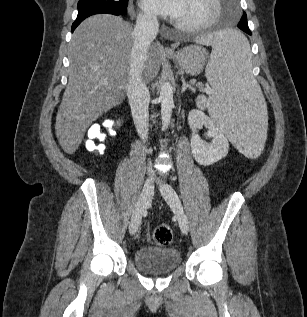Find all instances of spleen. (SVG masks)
Instances as JSON below:
<instances>
[{
	"label": "spleen",
	"mask_w": 307,
	"mask_h": 317,
	"mask_svg": "<svg viewBox=\"0 0 307 317\" xmlns=\"http://www.w3.org/2000/svg\"><path fill=\"white\" fill-rule=\"evenodd\" d=\"M199 44L211 45L205 73L212 87L208 111L212 121L230 138L238 155H263L270 129L259 84L250 72V46L242 29H214L202 33Z\"/></svg>",
	"instance_id": "1"
}]
</instances>
